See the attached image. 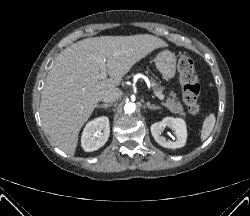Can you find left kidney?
<instances>
[{"instance_id": "1", "label": "left kidney", "mask_w": 250, "mask_h": 216, "mask_svg": "<svg viewBox=\"0 0 250 216\" xmlns=\"http://www.w3.org/2000/svg\"><path fill=\"white\" fill-rule=\"evenodd\" d=\"M165 127H169L174 131L176 135L174 141H169L161 135ZM150 129L155 141L165 148L176 149L186 144L187 128L185 121L181 118L165 117L161 122L152 124Z\"/></svg>"}]
</instances>
